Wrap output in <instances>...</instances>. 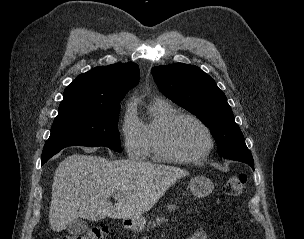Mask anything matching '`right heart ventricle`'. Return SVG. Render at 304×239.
I'll list each match as a JSON object with an SVG mask.
<instances>
[{"mask_svg": "<svg viewBox=\"0 0 304 239\" xmlns=\"http://www.w3.org/2000/svg\"><path fill=\"white\" fill-rule=\"evenodd\" d=\"M177 113H179L178 110L165 100L157 99L151 102L149 105L150 119L141 124L145 143V157L152 161L165 162L158 147L159 136L165 123Z\"/></svg>", "mask_w": 304, "mask_h": 239, "instance_id": "obj_1", "label": "right heart ventricle"}]
</instances>
